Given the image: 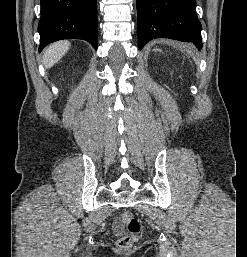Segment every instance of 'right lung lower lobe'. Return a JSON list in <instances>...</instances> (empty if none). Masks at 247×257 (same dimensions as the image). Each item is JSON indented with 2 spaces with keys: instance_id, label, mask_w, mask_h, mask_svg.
Listing matches in <instances>:
<instances>
[{
  "instance_id": "1",
  "label": "right lung lower lobe",
  "mask_w": 247,
  "mask_h": 257,
  "mask_svg": "<svg viewBox=\"0 0 247 257\" xmlns=\"http://www.w3.org/2000/svg\"><path fill=\"white\" fill-rule=\"evenodd\" d=\"M39 52L61 39H83L97 49L96 0H41Z\"/></svg>"
}]
</instances>
